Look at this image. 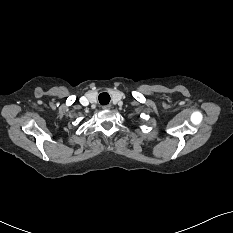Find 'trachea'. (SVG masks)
<instances>
[{
    "label": "trachea",
    "mask_w": 233,
    "mask_h": 233,
    "mask_svg": "<svg viewBox=\"0 0 233 233\" xmlns=\"http://www.w3.org/2000/svg\"><path fill=\"white\" fill-rule=\"evenodd\" d=\"M98 100L101 105H107L110 102V95L107 92L100 93Z\"/></svg>",
    "instance_id": "3493384b"
}]
</instances>
